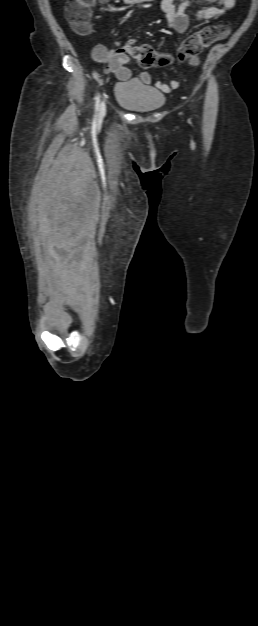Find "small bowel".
<instances>
[{
    "instance_id": "small-bowel-1",
    "label": "small bowel",
    "mask_w": 258,
    "mask_h": 626,
    "mask_svg": "<svg viewBox=\"0 0 258 626\" xmlns=\"http://www.w3.org/2000/svg\"><path fill=\"white\" fill-rule=\"evenodd\" d=\"M195 3H200L202 6L196 11L195 18L197 20H212L216 19L228 10H230L235 0H181L176 5V0H163L162 10L165 13L169 28L175 30L179 34H184L190 23V18L186 13V10ZM100 59L106 64V70L113 73L119 80L125 81L130 76V70L126 66L128 63V56L123 49H104L100 47L98 49ZM191 65L198 63L197 57H192L189 60ZM141 80L145 84L151 83V76L148 72L141 74ZM155 86L158 90L169 93L170 91L179 87V82L172 80L169 84L156 82Z\"/></svg>"
}]
</instances>
